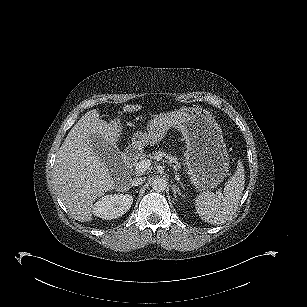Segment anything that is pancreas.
I'll return each instance as SVG.
<instances>
[{
  "label": "pancreas",
  "mask_w": 307,
  "mask_h": 307,
  "mask_svg": "<svg viewBox=\"0 0 307 307\" xmlns=\"http://www.w3.org/2000/svg\"><path fill=\"white\" fill-rule=\"evenodd\" d=\"M151 159H155L157 161H162L165 159L166 162L168 163H175L176 165L174 166L176 169H180L181 165L178 162V158L176 156H173L171 154H167L162 150H158L152 153V155H149Z\"/></svg>",
  "instance_id": "pancreas-1"
}]
</instances>
